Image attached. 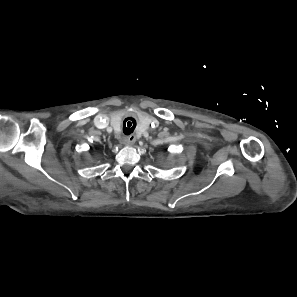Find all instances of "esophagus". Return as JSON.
Returning a JSON list of instances; mask_svg holds the SVG:
<instances>
[{"label":"esophagus","mask_w":297,"mask_h":297,"mask_svg":"<svg viewBox=\"0 0 297 297\" xmlns=\"http://www.w3.org/2000/svg\"><path fill=\"white\" fill-rule=\"evenodd\" d=\"M136 141V136L135 135H130L127 136L123 139L124 144L126 145H133Z\"/></svg>","instance_id":"1"}]
</instances>
